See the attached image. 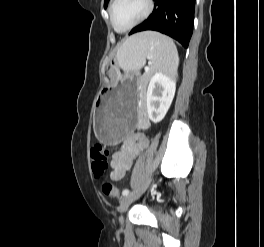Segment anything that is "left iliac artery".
Segmentation results:
<instances>
[{
  "label": "left iliac artery",
  "instance_id": "obj_1",
  "mask_svg": "<svg viewBox=\"0 0 264 247\" xmlns=\"http://www.w3.org/2000/svg\"><path fill=\"white\" fill-rule=\"evenodd\" d=\"M122 194H123L124 196L127 195V194H129V190H128V189L123 190Z\"/></svg>",
  "mask_w": 264,
  "mask_h": 247
}]
</instances>
